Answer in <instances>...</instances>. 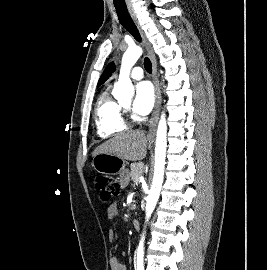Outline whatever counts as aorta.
<instances>
[{
	"mask_svg": "<svg viewBox=\"0 0 267 270\" xmlns=\"http://www.w3.org/2000/svg\"><path fill=\"white\" fill-rule=\"evenodd\" d=\"M142 55L139 46L129 47L123 55L118 82L114 85L113 95L118 101L131 99L134 95V87L130 79V70ZM167 125L165 114L162 113L156 135L154 177L146 199V221L149 220L159 199L165 167L167 147ZM144 234L137 248V261L142 262L144 256Z\"/></svg>",
	"mask_w": 267,
	"mask_h": 270,
	"instance_id": "obj_1",
	"label": "aorta"
}]
</instances>
